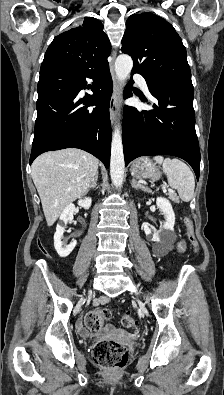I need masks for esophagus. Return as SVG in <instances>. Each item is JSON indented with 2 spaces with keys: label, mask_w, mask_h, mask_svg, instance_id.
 <instances>
[{
  "label": "esophagus",
  "mask_w": 224,
  "mask_h": 395,
  "mask_svg": "<svg viewBox=\"0 0 224 395\" xmlns=\"http://www.w3.org/2000/svg\"><path fill=\"white\" fill-rule=\"evenodd\" d=\"M116 57V51L112 52V61L110 63V72H111V76L113 79V94L112 97L110 99V104H109V113H110V119L112 124L115 123L116 121V117H117V112H118V102L120 99V85L117 79V76L115 74V70H114V60Z\"/></svg>",
  "instance_id": "34e87169"
}]
</instances>
